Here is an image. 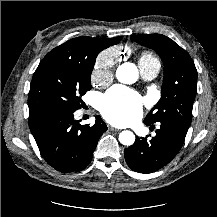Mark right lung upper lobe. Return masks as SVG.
<instances>
[{
    "label": "right lung upper lobe",
    "instance_id": "cb5924a9",
    "mask_svg": "<svg viewBox=\"0 0 217 217\" xmlns=\"http://www.w3.org/2000/svg\"><path fill=\"white\" fill-rule=\"evenodd\" d=\"M122 37L111 39L92 38L88 36L77 37L49 52L51 55L64 56L70 58L89 59L97 57L98 53L105 48L116 45Z\"/></svg>",
    "mask_w": 217,
    "mask_h": 217
}]
</instances>
